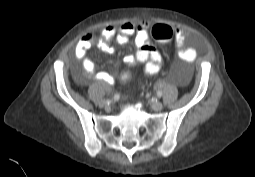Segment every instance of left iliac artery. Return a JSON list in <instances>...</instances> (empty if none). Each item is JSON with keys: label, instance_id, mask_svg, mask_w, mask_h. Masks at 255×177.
Masks as SVG:
<instances>
[{"label": "left iliac artery", "instance_id": "obj_1", "mask_svg": "<svg viewBox=\"0 0 255 177\" xmlns=\"http://www.w3.org/2000/svg\"><path fill=\"white\" fill-rule=\"evenodd\" d=\"M157 96L158 97H161L162 96V92L159 90V91H157Z\"/></svg>", "mask_w": 255, "mask_h": 177}]
</instances>
